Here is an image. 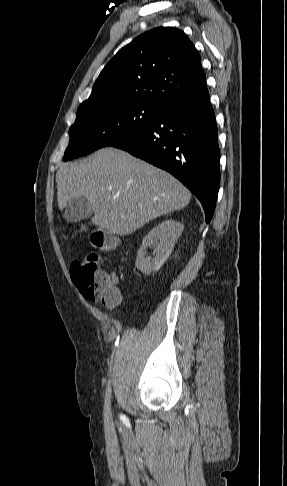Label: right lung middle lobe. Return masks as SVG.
Segmentation results:
<instances>
[{"instance_id": "1", "label": "right lung middle lobe", "mask_w": 287, "mask_h": 486, "mask_svg": "<svg viewBox=\"0 0 287 486\" xmlns=\"http://www.w3.org/2000/svg\"><path fill=\"white\" fill-rule=\"evenodd\" d=\"M163 109L158 103L136 100L107 102L77 111L63 160L134 138L155 121Z\"/></svg>"}]
</instances>
